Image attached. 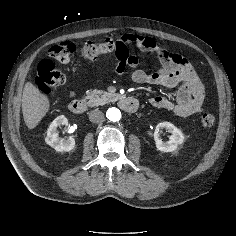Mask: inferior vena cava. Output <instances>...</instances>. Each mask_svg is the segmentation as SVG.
<instances>
[{
  "label": "inferior vena cava",
  "mask_w": 236,
  "mask_h": 236,
  "mask_svg": "<svg viewBox=\"0 0 236 236\" xmlns=\"http://www.w3.org/2000/svg\"><path fill=\"white\" fill-rule=\"evenodd\" d=\"M89 120L92 123L102 122L104 120V114L100 110L94 109L89 113Z\"/></svg>",
  "instance_id": "1"
}]
</instances>
